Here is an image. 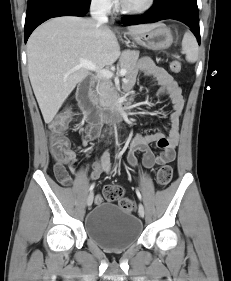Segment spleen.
Masks as SVG:
<instances>
[{
  "label": "spleen",
  "instance_id": "spleen-1",
  "mask_svg": "<svg viewBox=\"0 0 231 281\" xmlns=\"http://www.w3.org/2000/svg\"><path fill=\"white\" fill-rule=\"evenodd\" d=\"M182 50L186 54V60L194 63L198 60V44L192 33H185L182 40Z\"/></svg>",
  "mask_w": 231,
  "mask_h": 281
}]
</instances>
